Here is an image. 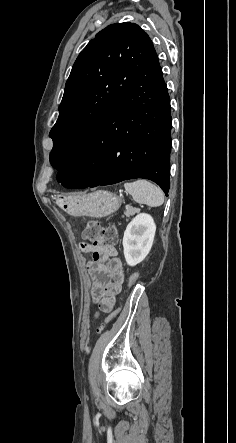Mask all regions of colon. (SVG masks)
Returning <instances> with one entry per match:
<instances>
[{
	"instance_id": "5ec220e1",
	"label": "colon",
	"mask_w": 236,
	"mask_h": 443,
	"mask_svg": "<svg viewBox=\"0 0 236 443\" xmlns=\"http://www.w3.org/2000/svg\"><path fill=\"white\" fill-rule=\"evenodd\" d=\"M84 238L88 240L91 245L97 246V245H112L117 241V230L114 225H109L107 227H101L100 223L96 220H91L87 223L86 228L84 230ZM138 275L134 274L130 280L129 285H133L134 282L137 280ZM118 314V310L112 312L109 317L106 320V323L110 322L112 319H114ZM105 324L102 325L98 333L102 334L104 331Z\"/></svg>"
}]
</instances>
